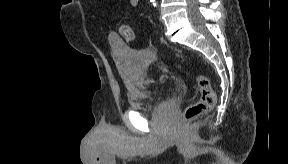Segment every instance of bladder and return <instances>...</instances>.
<instances>
[{
  "label": "bladder",
  "instance_id": "31cf9c89",
  "mask_svg": "<svg viewBox=\"0 0 288 164\" xmlns=\"http://www.w3.org/2000/svg\"><path fill=\"white\" fill-rule=\"evenodd\" d=\"M109 43L117 66L129 83V109L149 113L160 107L164 99L144 74L146 66L152 61V56L130 48L123 39L115 36L110 37Z\"/></svg>",
  "mask_w": 288,
  "mask_h": 164
}]
</instances>
